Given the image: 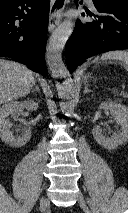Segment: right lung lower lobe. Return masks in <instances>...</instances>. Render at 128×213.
Returning a JSON list of instances; mask_svg holds the SVG:
<instances>
[{
	"label": "right lung lower lobe",
	"instance_id": "obj_1",
	"mask_svg": "<svg viewBox=\"0 0 128 213\" xmlns=\"http://www.w3.org/2000/svg\"><path fill=\"white\" fill-rule=\"evenodd\" d=\"M48 13L49 0L1 1L0 57L20 60L46 76L43 52Z\"/></svg>",
	"mask_w": 128,
	"mask_h": 213
}]
</instances>
